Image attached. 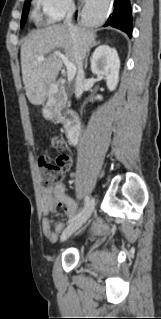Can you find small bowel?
Returning <instances> with one entry per match:
<instances>
[{
  "label": "small bowel",
  "mask_w": 161,
  "mask_h": 319,
  "mask_svg": "<svg viewBox=\"0 0 161 319\" xmlns=\"http://www.w3.org/2000/svg\"><path fill=\"white\" fill-rule=\"evenodd\" d=\"M66 185L64 182H58L53 186L45 187L42 191V207L43 212L47 215L52 212L56 205L65 206L69 216L74 215L77 210L76 202L66 195ZM64 225L59 222L55 225V231H53L50 222L47 218L43 220L42 230L46 238L50 241H56L58 234L63 231ZM107 229L106 225L102 222H98L93 228V233L97 234Z\"/></svg>",
  "instance_id": "1"
}]
</instances>
